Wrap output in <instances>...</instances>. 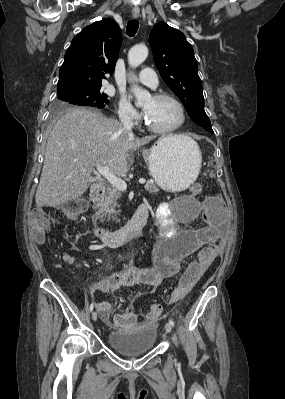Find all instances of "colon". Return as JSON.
Wrapping results in <instances>:
<instances>
[{
  "instance_id": "colon-1",
  "label": "colon",
  "mask_w": 285,
  "mask_h": 399,
  "mask_svg": "<svg viewBox=\"0 0 285 399\" xmlns=\"http://www.w3.org/2000/svg\"><path fill=\"white\" fill-rule=\"evenodd\" d=\"M190 192L195 197L200 195L202 192L201 185L198 183L193 184L190 188ZM85 208L86 202L84 200H73L61 208H54L49 211L34 209L28 220L32 238L36 242H42L46 239L54 218L63 216L69 219H75ZM218 247V242L205 246L201 251V257L197 261L188 264L180 279L178 287V294L180 296L189 292L192 285L205 273ZM161 312L162 306L156 304L146 309L143 314L148 320H155L160 316Z\"/></svg>"
}]
</instances>
